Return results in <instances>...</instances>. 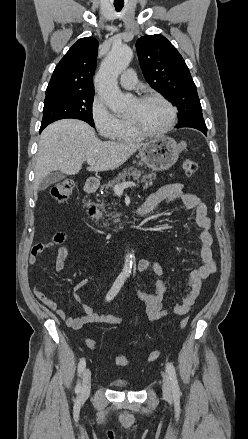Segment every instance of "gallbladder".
<instances>
[{
    "label": "gallbladder",
    "instance_id": "obj_1",
    "mask_svg": "<svg viewBox=\"0 0 248 439\" xmlns=\"http://www.w3.org/2000/svg\"><path fill=\"white\" fill-rule=\"evenodd\" d=\"M65 178V175L61 172L55 171L48 174L39 184V190H45L50 185L57 183Z\"/></svg>",
    "mask_w": 248,
    "mask_h": 439
}]
</instances>
